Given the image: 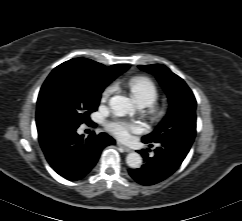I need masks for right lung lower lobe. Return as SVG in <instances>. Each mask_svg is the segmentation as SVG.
<instances>
[{
  "label": "right lung lower lobe",
  "mask_w": 242,
  "mask_h": 221,
  "mask_svg": "<svg viewBox=\"0 0 242 221\" xmlns=\"http://www.w3.org/2000/svg\"><path fill=\"white\" fill-rule=\"evenodd\" d=\"M77 128L66 124L38 127V139L48 163L70 181L82 179L95 166L102 149L115 144L106 133H92L84 139L77 134Z\"/></svg>",
  "instance_id": "obj_1"
}]
</instances>
